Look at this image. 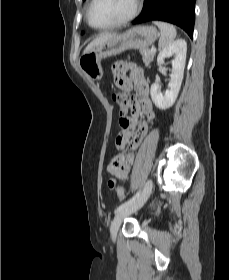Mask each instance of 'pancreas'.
Segmentation results:
<instances>
[{"instance_id":"obj_1","label":"pancreas","mask_w":229,"mask_h":280,"mask_svg":"<svg viewBox=\"0 0 229 280\" xmlns=\"http://www.w3.org/2000/svg\"><path fill=\"white\" fill-rule=\"evenodd\" d=\"M142 57H143V62L145 63L146 66L150 64V62L153 60L155 53H152L148 49H139Z\"/></svg>"}]
</instances>
